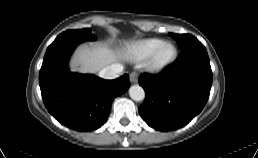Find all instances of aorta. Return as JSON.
I'll list each match as a JSON object with an SVG mask.
<instances>
[{"instance_id":"762f6f07","label":"aorta","mask_w":258,"mask_h":158,"mask_svg":"<svg viewBox=\"0 0 258 158\" xmlns=\"http://www.w3.org/2000/svg\"><path fill=\"white\" fill-rule=\"evenodd\" d=\"M129 95L134 101H142L145 98V91L139 85H133L129 89Z\"/></svg>"}]
</instances>
